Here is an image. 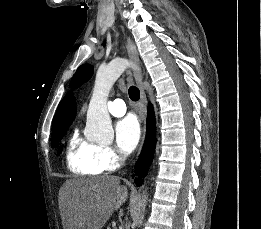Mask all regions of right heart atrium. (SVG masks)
Returning a JSON list of instances; mask_svg holds the SVG:
<instances>
[{"label":"right heart atrium","mask_w":261,"mask_h":229,"mask_svg":"<svg viewBox=\"0 0 261 229\" xmlns=\"http://www.w3.org/2000/svg\"><path fill=\"white\" fill-rule=\"evenodd\" d=\"M125 158L123 154L112 145H99L96 155V164L100 171L113 172L121 168Z\"/></svg>","instance_id":"right-heart-atrium-1"}]
</instances>
